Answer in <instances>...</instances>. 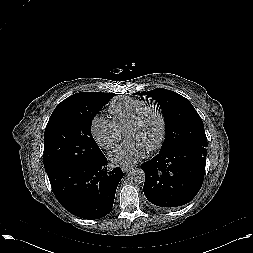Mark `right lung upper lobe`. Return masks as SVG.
Wrapping results in <instances>:
<instances>
[{
  "label": "right lung upper lobe",
  "instance_id": "1",
  "mask_svg": "<svg viewBox=\"0 0 253 253\" xmlns=\"http://www.w3.org/2000/svg\"><path fill=\"white\" fill-rule=\"evenodd\" d=\"M93 92H81V93H76L68 98H66L65 100H63L60 104H64V103H67L69 102L70 100L72 99H77V98H84L86 96H88L89 94H91Z\"/></svg>",
  "mask_w": 253,
  "mask_h": 253
}]
</instances>
